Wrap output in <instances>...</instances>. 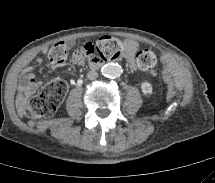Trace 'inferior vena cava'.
Segmentation results:
<instances>
[{"mask_svg": "<svg viewBox=\"0 0 215 183\" xmlns=\"http://www.w3.org/2000/svg\"><path fill=\"white\" fill-rule=\"evenodd\" d=\"M87 77L89 80H95L96 78H98V73L96 71H89L87 73Z\"/></svg>", "mask_w": 215, "mask_h": 183, "instance_id": "inferior-vena-cava-1", "label": "inferior vena cava"}]
</instances>
